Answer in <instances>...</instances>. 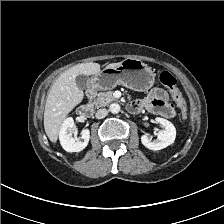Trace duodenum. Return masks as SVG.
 I'll return each mask as SVG.
<instances>
[{"label":"duodenum","instance_id":"1","mask_svg":"<svg viewBox=\"0 0 224 224\" xmlns=\"http://www.w3.org/2000/svg\"><path fill=\"white\" fill-rule=\"evenodd\" d=\"M94 96V91L92 89L88 90L87 92V98H88V101L84 104H82L79 108H78V115L80 117H83V118H87L91 115L92 113V103H91V99L93 98ZM129 109L133 112H138L140 111L142 108L135 102H132L130 105H129Z\"/></svg>","mask_w":224,"mask_h":224}]
</instances>
